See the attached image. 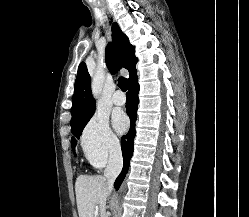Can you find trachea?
I'll return each instance as SVG.
<instances>
[{"mask_svg":"<svg viewBox=\"0 0 249 217\" xmlns=\"http://www.w3.org/2000/svg\"><path fill=\"white\" fill-rule=\"evenodd\" d=\"M127 85H128V81L126 78L124 77H119L118 79V86L122 91H126L127 90Z\"/></svg>","mask_w":249,"mask_h":217,"instance_id":"3493384b","label":"trachea"}]
</instances>
